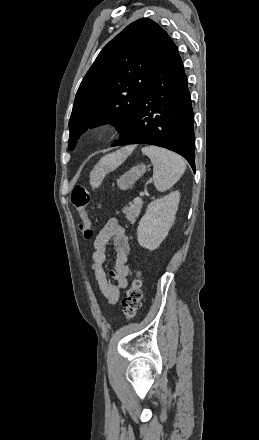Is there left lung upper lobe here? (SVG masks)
<instances>
[{
    "mask_svg": "<svg viewBox=\"0 0 259 440\" xmlns=\"http://www.w3.org/2000/svg\"><path fill=\"white\" fill-rule=\"evenodd\" d=\"M169 35L141 18L102 49L83 78L69 120L70 150L89 127L111 123L122 133L135 114Z\"/></svg>",
    "mask_w": 259,
    "mask_h": 440,
    "instance_id": "obj_1",
    "label": "left lung upper lobe"
}]
</instances>
